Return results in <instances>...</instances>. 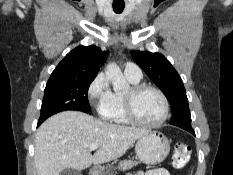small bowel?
Returning a JSON list of instances; mask_svg holds the SVG:
<instances>
[{
	"label": "small bowel",
	"instance_id": "1",
	"mask_svg": "<svg viewBox=\"0 0 233 175\" xmlns=\"http://www.w3.org/2000/svg\"><path fill=\"white\" fill-rule=\"evenodd\" d=\"M128 175H170L165 168H155L148 171H136Z\"/></svg>",
	"mask_w": 233,
	"mask_h": 175
}]
</instances>
